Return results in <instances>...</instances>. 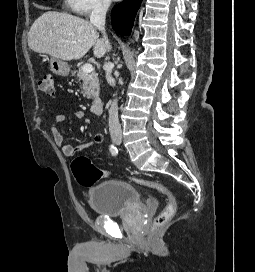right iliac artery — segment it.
Wrapping results in <instances>:
<instances>
[{"label":"right iliac artery","instance_id":"1","mask_svg":"<svg viewBox=\"0 0 255 272\" xmlns=\"http://www.w3.org/2000/svg\"><path fill=\"white\" fill-rule=\"evenodd\" d=\"M109 150L113 156H116L118 154V149L114 145H110Z\"/></svg>","mask_w":255,"mask_h":272}]
</instances>
